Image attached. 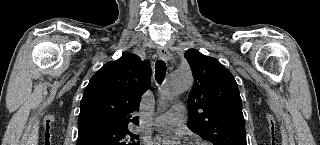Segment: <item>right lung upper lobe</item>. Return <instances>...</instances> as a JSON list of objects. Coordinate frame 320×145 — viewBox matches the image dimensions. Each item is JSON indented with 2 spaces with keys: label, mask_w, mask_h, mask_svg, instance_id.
I'll return each instance as SVG.
<instances>
[{
  "label": "right lung upper lobe",
  "mask_w": 320,
  "mask_h": 145,
  "mask_svg": "<svg viewBox=\"0 0 320 145\" xmlns=\"http://www.w3.org/2000/svg\"><path fill=\"white\" fill-rule=\"evenodd\" d=\"M151 68L135 54L106 63L93 75L80 103L78 136L101 129L127 128L139 124L142 94L150 85Z\"/></svg>",
  "instance_id": "right-lung-upper-lobe-1"
}]
</instances>
